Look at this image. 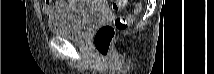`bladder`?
Masks as SVG:
<instances>
[{"label":"bladder","instance_id":"31cf9c89","mask_svg":"<svg viewBox=\"0 0 214 74\" xmlns=\"http://www.w3.org/2000/svg\"><path fill=\"white\" fill-rule=\"evenodd\" d=\"M69 6L57 9L49 19L50 33L74 41H84L88 31L98 22L102 10L92 1L74 0Z\"/></svg>","mask_w":214,"mask_h":74}]
</instances>
